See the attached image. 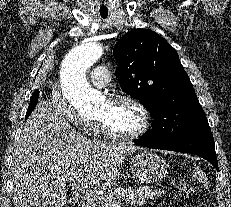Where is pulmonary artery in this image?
I'll list each match as a JSON object with an SVG mask.
<instances>
[{
  "label": "pulmonary artery",
  "mask_w": 231,
  "mask_h": 207,
  "mask_svg": "<svg viewBox=\"0 0 231 207\" xmlns=\"http://www.w3.org/2000/svg\"><path fill=\"white\" fill-rule=\"evenodd\" d=\"M89 80L96 87H104L110 81L109 71L104 65L95 66L89 75Z\"/></svg>",
  "instance_id": "1"
}]
</instances>
